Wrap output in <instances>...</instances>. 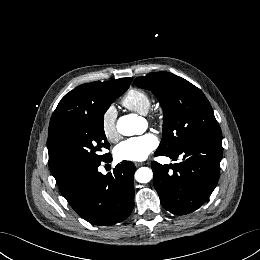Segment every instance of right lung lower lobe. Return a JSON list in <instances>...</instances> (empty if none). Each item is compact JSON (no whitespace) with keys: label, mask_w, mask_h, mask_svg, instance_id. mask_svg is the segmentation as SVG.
Returning a JSON list of instances; mask_svg holds the SVG:
<instances>
[{"label":"right lung lower lobe","mask_w":260,"mask_h":260,"mask_svg":"<svg viewBox=\"0 0 260 260\" xmlns=\"http://www.w3.org/2000/svg\"><path fill=\"white\" fill-rule=\"evenodd\" d=\"M110 159L111 155L104 162ZM100 163L68 173L58 185L82 218L94 225L110 226L126 219L133 210L135 166L122 161L112 173L103 175L97 169Z\"/></svg>","instance_id":"right-lung-lower-lobe-1"}]
</instances>
